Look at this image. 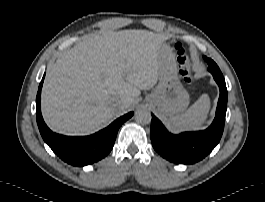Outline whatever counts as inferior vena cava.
Masks as SVG:
<instances>
[{"label":"inferior vena cava","instance_id":"1","mask_svg":"<svg viewBox=\"0 0 265 202\" xmlns=\"http://www.w3.org/2000/svg\"><path fill=\"white\" fill-rule=\"evenodd\" d=\"M113 102H114V105H115V106H118V105L120 104V102H121V98H120V97H115V98L113 99Z\"/></svg>","mask_w":265,"mask_h":202}]
</instances>
